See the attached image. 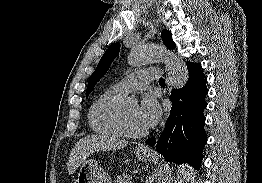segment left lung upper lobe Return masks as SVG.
Listing matches in <instances>:
<instances>
[{
  "mask_svg": "<svg viewBox=\"0 0 262 183\" xmlns=\"http://www.w3.org/2000/svg\"><path fill=\"white\" fill-rule=\"evenodd\" d=\"M162 40L163 43L171 48H175V44L172 40V34L168 30L162 31ZM120 51V43H114L112 44L104 53L102 58L100 59L94 73L91 75L88 87L86 91V95L88 96L90 92L93 90L95 84L104 76V74L107 72V70L110 67L111 62L114 60V58L117 56V54Z\"/></svg>",
  "mask_w": 262,
  "mask_h": 183,
  "instance_id": "5c2ea615",
  "label": "left lung upper lobe"
}]
</instances>
